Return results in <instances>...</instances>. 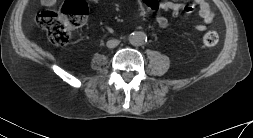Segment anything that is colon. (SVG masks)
Instances as JSON below:
<instances>
[{
    "label": "colon",
    "mask_w": 253,
    "mask_h": 138,
    "mask_svg": "<svg viewBox=\"0 0 253 138\" xmlns=\"http://www.w3.org/2000/svg\"><path fill=\"white\" fill-rule=\"evenodd\" d=\"M88 7L84 0H67L60 11L44 10L38 14L37 22L47 30L50 41L56 46L69 43L73 29L86 21ZM218 34L208 31L203 34L201 44L213 47L218 43Z\"/></svg>",
    "instance_id": "obj_1"
}]
</instances>
